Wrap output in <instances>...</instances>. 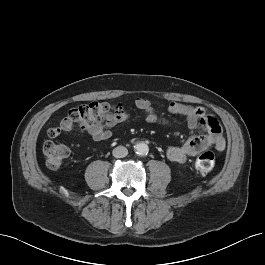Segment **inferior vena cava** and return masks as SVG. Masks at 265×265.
<instances>
[{
    "label": "inferior vena cava",
    "instance_id": "inferior-vena-cava-1",
    "mask_svg": "<svg viewBox=\"0 0 265 265\" xmlns=\"http://www.w3.org/2000/svg\"><path fill=\"white\" fill-rule=\"evenodd\" d=\"M112 154L115 158H123L127 156L128 150L124 146H117L113 149Z\"/></svg>",
    "mask_w": 265,
    "mask_h": 265
}]
</instances>
